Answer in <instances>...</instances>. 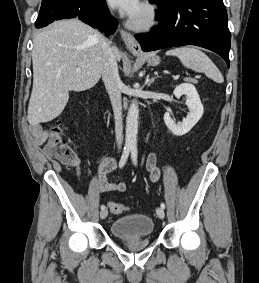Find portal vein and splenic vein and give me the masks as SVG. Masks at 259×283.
Instances as JSON below:
<instances>
[{
  "mask_svg": "<svg viewBox=\"0 0 259 283\" xmlns=\"http://www.w3.org/2000/svg\"><path fill=\"white\" fill-rule=\"evenodd\" d=\"M76 72H80V68H76ZM178 78H179L178 75L174 77V79H178Z\"/></svg>",
  "mask_w": 259,
  "mask_h": 283,
  "instance_id": "obj_1",
  "label": "portal vein and splenic vein"
}]
</instances>
